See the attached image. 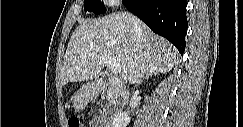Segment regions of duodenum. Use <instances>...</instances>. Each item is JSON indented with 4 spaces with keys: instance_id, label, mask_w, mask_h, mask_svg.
I'll return each instance as SVG.
<instances>
[{
    "instance_id": "410a0bca",
    "label": "duodenum",
    "mask_w": 243,
    "mask_h": 127,
    "mask_svg": "<svg viewBox=\"0 0 243 127\" xmlns=\"http://www.w3.org/2000/svg\"><path fill=\"white\" fill-rule=\"evenodd\" d=\"M94 87L100 90L109 89L111 91L110 103L112 108L109 113V118L112 119L121 110L122 105L125 104L127 100L121 83L109 74L102 73L96 77ZM100 123L102 126L106 127L103 119H100Z\"/></svg>"
}]
</instances>
